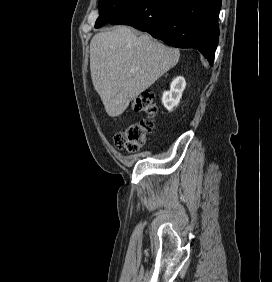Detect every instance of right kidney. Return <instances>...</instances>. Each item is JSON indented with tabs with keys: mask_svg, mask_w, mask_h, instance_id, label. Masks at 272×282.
<instances>
[{
	"mask_svg": "<svg viewBox=\"0 0 272 282\" xmlns=\"http://www.w3.org/2000/svg\"><path fill=\"white\" fill-rule=\"evenodd\" d=\"M185 87L184 77L178 76L171 82L170 90L163 93L162 103L168 111H172L178 105Z\"/></svg>",
	"mask_w": 272,
	"mask_h": 282,
	"instance_id": "obj_1",
	"label": "right kidney"
}]
</instances>
